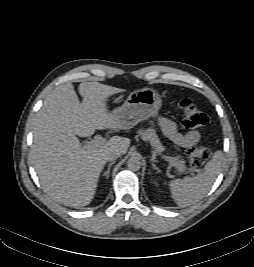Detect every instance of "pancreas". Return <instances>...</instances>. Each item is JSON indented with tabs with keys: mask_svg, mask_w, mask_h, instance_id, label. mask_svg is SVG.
<instances>
[{
	"mask_svg": "<svg viewBox=\"0 0 254 267\" xmlns=\"http://www.w3.org/2000/svg\"><path fill=\"white\" fill-rule=\"evenodd\" d=\"M139 134L144 141H148L150 143L155 152L161 153L164 150V147L162 146L154 129L149 128L143 131H139ZM171 159L173 160L174 166L179 170V172H183L186 169L185 161L183 159H180L179 156L171 157Z\"/></svg>",
	"mask_w": 254,
	"mask_h": 267,
	"instance_id": "cf45deb5",
	"label": "pancreas"
}]
</instances>
